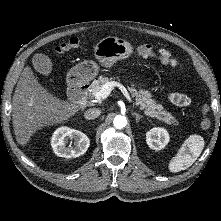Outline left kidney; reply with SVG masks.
Here are the masks:
<instances>
[{
  "mask_svg": "<svg viewBox=\"0 0 221 221\" xmlns=\"http://www.w3.org/2000/svg\"><path fill=\"white\" fill-rule=\"evenodd\" d=\"M148 146L156 151L163 149L169 142V134L164 128H153L146 133Z\"/></svg>",
  "mask_w": 221,
  "mask_h": 221,
  "instance_id": "obj_1",
  "label": "left kidney"
}]
</instances>
